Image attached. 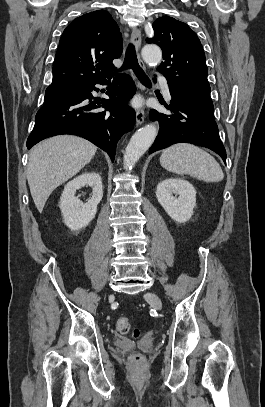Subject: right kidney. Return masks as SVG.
I'll list each match as a JSON object with an SVG mask.
<instances>
[{"instance_id":"ca27d5eb","label":"right kidney","mask_w":265,"mask_h":407,"mask_svg":"<svg viewBox=\"0 0 265 407\" xmlns=\"http://www.w3.org/2000/svg\"><path fill=\"white\" fill-rule=\"evenodd\" d=\"M85 185L92 187V197L83 203L75 197V194L78 189ZM102 197V181L98 173H83L70 181L65 186L59 203L65 225L71 230H80L86 227L95 217L97 205Z\"/></svg>"}]
</instances>
